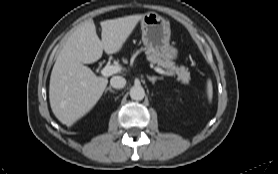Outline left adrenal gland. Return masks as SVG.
I'll list each match as a JSON object with an SVG mask.
<instances>
[{"mask_svg": "<svg viewBox=\"0 0 278 174\" xmlns=\"http://www.w3.org/2000/svg\"><path fill=\"white\" fill-rule=\"evenodd\" d=\"M147 78L153 83V84H155V82L157 81V80H161L162 79V77H157V76H147Z\"/></svg>", "mask_w": 278, "mask_h": 174, "instance_id": "left-adrenal-gland-1", "label": "left adrenal gland"}]
</instances>
